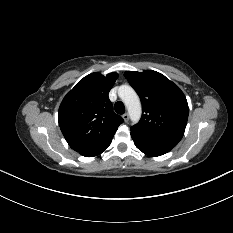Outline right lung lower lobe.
<instances>
[{
	"label": "right lung lower lobe",
	"instance_id": "right-lung-lower-lobe-1",
	"mask_svg": "<svg viewBox=\"0 0 233 233\" xmlns=\"http://www.w3.org/2000/svg\"><path fill=\"white\" fill-rule=\"evenodd\" d=\"M112 138H109L108 140H106L105 142L92 147V148H88V149H84L82 151H79V153L85 157H93V156H97L99 154H101L104 150H106L108 148V146L111 144Z\"/></svg>",
	"mask_w": 233,
	"mask_h": 233
}]
</instances>
